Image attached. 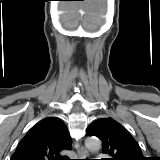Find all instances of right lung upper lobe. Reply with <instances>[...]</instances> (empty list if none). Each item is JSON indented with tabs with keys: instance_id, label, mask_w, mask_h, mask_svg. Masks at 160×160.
Wrapping results in <instances>:
<instances>
[{
	"instance_id": "right-lung-upper-lobe-1",
	"label": "right lung upper lobe",
	"mask_w": 160,
	"mask_h": 160,
	"mask_svg": "<svg viewBox=\"0 0 160 160\" xmlns=\"http://www.w3.org/2000/svg\"><path fill=\"white\" fill-rule=\"evenodd\" d=\"M71 137L57 117L42 119L19 142L11 160H69L61 151L71 150Z\"/></svg>"
}]
</instances>
